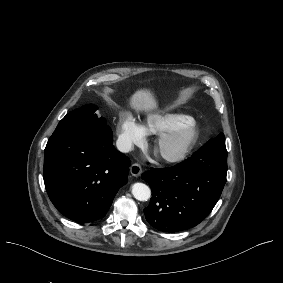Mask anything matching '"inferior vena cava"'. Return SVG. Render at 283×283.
<instances>
[{"label": "inferior vena cava", "mask_w": 283, "mask_h": 283, "mask_svg": "<svg viewBox=\"0 0 283 283\" xmlns=\"http://www.w3.org/2000/svg\"><path fill=\"white\" fill-rule=\"evenodd\" d=\"M116 145L120 152L127 153L132 149V143L128 140L118 139Z\"/></svg>", "instance_id": "602c4592"}]
</instances>
